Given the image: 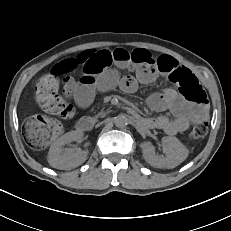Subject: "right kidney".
Returning a JSON list of instances; mask_svg holds the SVG:
<instances>
[{
  "instance_id": "right-kidney-1",
  "label": "right kidney",
  "mask_w": 231,
  "mask_h": 231,
  "mask_svg": "<svg viewBox=\"0 0 231 231\" xmlns=\"http://www.w3.org/2000/svg\"><path fill=\"white\" fill-rule=\"evenodd\" d=\"M83 137L80 131H71L57 139L49 149L48 163L57 169L69 170L81 165L87 159V151L78 148H65L63 146Z\"/></svg>"
}]
</instances>
